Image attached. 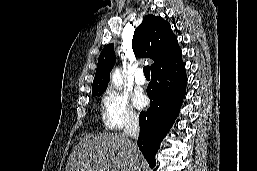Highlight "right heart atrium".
I'll return each instance as SVG.
<instances>
[{
    "mask_svg": "<svg viewBox=\"0 0 257 171\" xmlns=\"http://www.w3.org/2000/svg\"><path fill=\"white\" fill-rule=\"evenodd\" d=\"M102 120L111 130H120L134 125L139 116L129 96L116 89L107 90L101 100Z\"/></svg>",
    "mask_w": 257,
    "mask_h": 171,
    "instance_id": "d8ad5b80",
    "label": "right heart atrium"
}]
</instances>
